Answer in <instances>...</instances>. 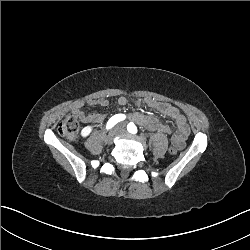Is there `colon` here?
<instances>
[{
	"mask_svg": "<svg viewBox=\"0 0 250 250\" xmlns=\"http://www.w3.org/2000/svg\"><path fill=\"white\" fill-rule=\"evenodd\" d=\"M80 129V117L77 113L67 114L58 125V132L64 139L73 140L77 137ZM179 150L176 143H172L170 153L176 154Z\"/></svg>",
	"mask_w": 250,
	"mask_h": 250,
	"instance_id": "obj_1",
	"label": "colon"
}]
</instances>
